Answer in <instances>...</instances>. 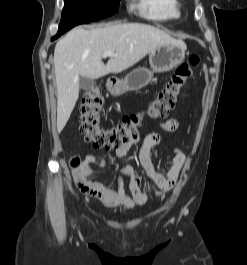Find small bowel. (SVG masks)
<instances>
[{"mask_svg": "<svg viewBox=\"0 0 247 265\" xmlns=\"http://www.w3.org/2000/svg\"><path fill=\"white\" fill-rule=\"evenodd\" d=\"M160 126L166 132H173L178 129L179 121L177 119H169L161 122ZM138 141L139 136L117 149V156L124 160L131 145ZM162 142V134L158 132L148 134L143 140L138 155L146 176L160 189L157 193L159 195H164L173 189L186 160L183 147H175V157L166 175L157 172L150 159V149ZM94 163H97V166L101 168L106 165V161L103 158L97 162L96 155L91 153L88 154L82 164L72 172L73 180L83 194L97 198L102 204L109 208L133 209L147 202L148 196L142 188V177L134 166L126 162L123 163L121 174L118 178V186L115 190L93 179L89 166ZM124 177L130 178L127 190L123 181Z\"/></svg>", "mask_w": 247, "mask_h": 265, "instance_id": "c3829d8e", "label": "small bowel"}]
</instances>
